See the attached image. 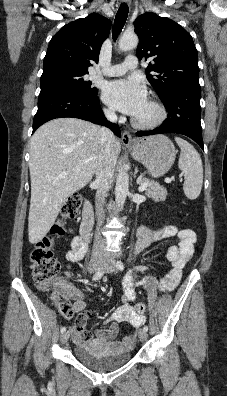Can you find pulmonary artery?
<instances>
[{"mask_svg":"<svg viewBox=\"0 0 227 396\" xmlns=\"http://www.w3.org/2000/svg\"><path fill=\"white\" fill-rule=\"evenodd\" d=\"M138 59L135 56H127L123 63L112 65L99 70L98 73L106 76H120L128 70L136 68Z\"/></svg>","mask_w":227,"mask_h":396,"instance_id":"pulmonary-artery-1","label":"pulmonary artery"}]
</instances>
